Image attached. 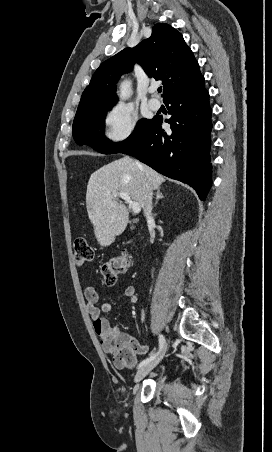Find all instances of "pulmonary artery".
Instances as JSON below:
<instances>
[{
  "label": "pulmonary artery",
  "instance_id": "obj_1",
  "mask_svg": "<svg viewBox=\"0 0 272 452\" xmlns=\"http://www.w3.org/2000/svg\"><path fill=\"white\" fill-rule=\"evenodd\" d=\"M150 92H151V93H154V92H155V87H151V88H150ZM149 107H150L152 110H154V111L160 109V107H161V102H160V100H158L157 98H151V99L149 100Z\"/></svg>",
  "mask_w": 272,
  "mask_h": 452
}]
</instances>
